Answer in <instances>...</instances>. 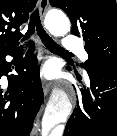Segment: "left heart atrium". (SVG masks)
<instances>
[{"label":"left heart atrium","mask_w":117,"mask_h":136,"mask_svg":"<svg viewBox=\"0 0 117 136\" xmlns=\"http://www.w3.org/2000/svg\"><path fill=\"white\" fill-rule=\"evenodd\" d=\"M42 75L45 77V78H48V79H51L54 74H55V70H54V67L50 64H46L43 68H42V71H41Z\"/></svg>","instance_id":"1"}]
</instances>
